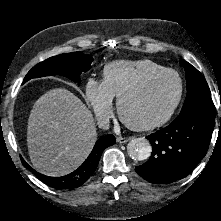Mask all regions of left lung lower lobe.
I'll list each match as a JSON object with an SVG mask.
<instances>
[{"label":"left lung lower lobe","instance_id":"0a47b994","mask_svg":"<svg viewBox=\"0 0 221 221\" xmlns=\"http://www.w3.org/2000/svg\"><path fill=\"white\" fill-rule=\"evenodd\" d=\"M215 107L195 105L167 127L148 135L150 159L135 168L145 180L167 184L189 175L206 155L215 124Z\"/></svg>","mask_w":221,"mask_h":221}]
</instances>
